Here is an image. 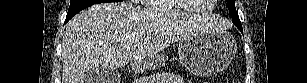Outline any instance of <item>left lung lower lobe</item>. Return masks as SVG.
<instances>
[{
  "instance_id": "1",
  "label": "left lung lower lobe",
  "mask_w": 307,
  "mask_h": 83,
  "mask_svg": "<svg viewBox=\"0 0 307 83\" xmlns=\"http://www.w3.org/2000/svg\"><path fill=\"white\" fill-rule=\"evenodd\" d=\"M241 32H243L242 27H238Z\"/></svg>"
}]
</instances>
